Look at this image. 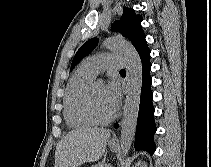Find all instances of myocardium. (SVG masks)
<instances>
[{
	"mask_svg": "<svg viewBox=\"0 0 211 167\" xmlns=\"http://www.w3.org/2000/svg\"><path fill=\"white\" fill-rule=\"evenodd\" d=\"M93 86H94V83H90L84 92L83 100H82L83 110L85 114L94 122V124H98V125L108 124L115 119L116 113L114 112L111 116L107 118H101L96 115L91 104V93H92Z\"/></svg>",
	"mask_w": 211,
	"mask_h": 167,
	"instance_id": "obj_1",
	"label": "myocardium"
}]
</instances>
